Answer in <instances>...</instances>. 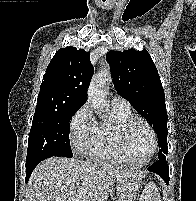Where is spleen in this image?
Wrapping results in <instances>:
<instances>
[{
	"label": "spleen",
	"instance_id": "obj_1",
	"mask_svg": "<svg viewBox=\"0 0 196 201\" xmlns=\"http://www.w3.org/2000/svg\"><path fill=\"white\" fill-rule=\"evenodd\" d=\"M140 201H161L156 185L150 182L145 186Z\"/></svg>",
	"mask_w": 196,
	"mask_h": 201
}]
</instances>
